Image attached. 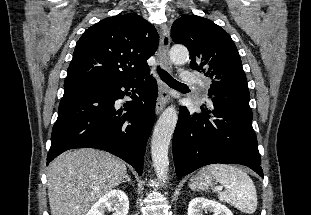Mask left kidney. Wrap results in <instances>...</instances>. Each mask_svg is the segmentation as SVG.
<instances>
[{
	"instance_id": "1",
	"label": "left kidney",
	"mask_w": 311,
	"mask_h": 215,
	"mask_svg": "<svg viewBox=\"0 0 311 215\" xmlns=\"http://www.w3.org/2000/svg\"><path fill=\"white\" fill-rule=\"evenodd\" d=\"M213 212V215H233L224 205L205 198H194L188 205V215H203V212Z\"/></svg>"
}]
</instances>
